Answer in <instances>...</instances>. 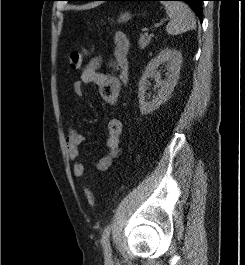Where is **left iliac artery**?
I'll return each mask as SVG.
<instances>
[{
	"label": "left iliac artery",
	"instance_id": "44dca946",
	"mask_svg": "<svg viewBox=\"0 0 245 265\" xmlns=\"http://www.w3.org/2000/svg\"><path fill=\"white\" fill-rule=\"evenodd\" d=\"M110 232H111V225H108L105 227L103 234H102V239H101V244L104 249V254L109 257L111 256V253H112L110 241H109Z\"/></svg>",
	"mask_w": 245,
	"mask_h": 265
}]
</instances>
